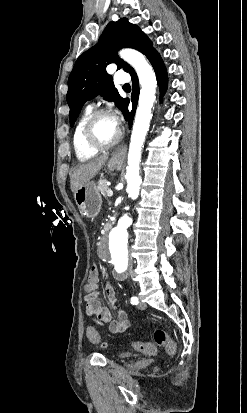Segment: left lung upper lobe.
I'll list each match as a JSON object with an SVG mask.
<instances>
[{
    "instance_id": "1",
    "label": "left lung upper lobe",
    "mask_w": 247,
    "mask_h": 413,
    "mask_svg": "<svg viewBox=\"0 0 247 413\" xmlns=\"http://www.w3.org/2000/svg\"><path fill=\"white\" fill-rule=\"evenodd\" d=\"M123 47L137 49L147 58L156 52L149 38L126 18L110 22L98 43L79 56L70 73L66 99L70 107L71 126L74 125L83 104L97 95H102L105 100L115 101V105L124 114L128 99L119 96L112 77L106 72V66L114 62L118 69L122 68L131 75L135 73L133 68L117 56V51Z\"/></svg>"
}]
</instances>
